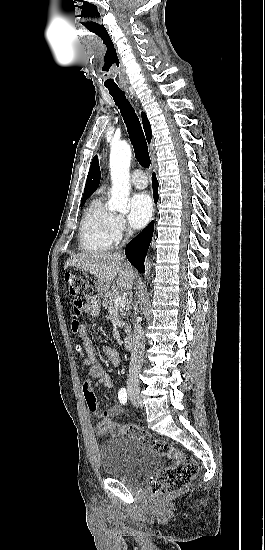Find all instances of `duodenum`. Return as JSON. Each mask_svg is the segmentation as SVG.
<instances>
[{"instance_id":"1","label":"duodenum","mask_w":265,"mask_h":550,"mask_svg":"<svg viewBox=\"0 0 265 550\" xmlns=\"http://www.w3.org/2000/svg\"><path fill=\"white\" fill-rule=\"evenodd\" d=\"M124 347L129 351L134 349V341H133V336L132 335H130V334L125 335V337H124Z\"/></svg>"}]
</instances>
